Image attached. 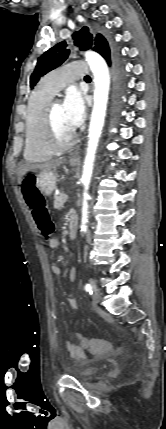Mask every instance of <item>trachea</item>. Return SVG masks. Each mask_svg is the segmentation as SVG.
Instances as JSON below:
<instances>
[{"instance_id": "obj_1", "label": "trachea", "mask_w": 166, "mask_h": 429, "mask_svg": "<svg viewBox=\"0 0 166 429\" xmlns=\"http://www.w3.org/2000/svg\"><path fill=\"white\" fill-rule=\"evenodd\" d=\"M85 79H90V76H88V75H87V76H85Z\"/></svg>"}]
</instances>
